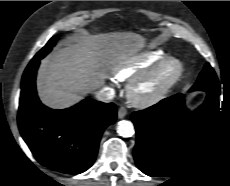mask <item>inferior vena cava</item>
Returning <instances> with one entry per match:
<instances>
[{
	"label": "inferior vena cava",
	"mask_w": 230,
	"mask_h": 186,
	"mask_svg": "<svg viewBox=\"0 0 230 186\" xmlns=\"http://www.w3.org/2000/svg\"><path fill=\"white\" fill-rule=\"evenodd\" d=\"M96 99L102 102H109L115 97V91L113 88L104 87L98 91L95 95Z\"/></svg>",
	"instance_id": "obj_1"
}]
</instances>
